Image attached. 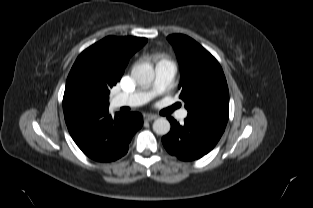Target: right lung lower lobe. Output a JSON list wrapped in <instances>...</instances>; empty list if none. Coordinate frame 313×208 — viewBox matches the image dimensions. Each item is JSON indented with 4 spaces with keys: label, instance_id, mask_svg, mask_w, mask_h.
I'll list each match as a JSON object with an SVG mask.
<instances>
[{
    "label": "right lung lower lobe",
    "instance_id": "right-lung-lower-lobe-1",
    "mask_svg": "<svg viewBox=\"0 0 313 208\" xmlns=\"http://www.w3.org/2000/svg\"><path fill=\"white\" fill-rule=\"evenodd\" d=\"M68 131L82 152L98 162H110L124 156L132 136L142 127L139 113H117L111 117L108 106L64 108Z\"/></svg>",
    "mask_w": 313,
    "mask_h": 208
}]
</instances>
